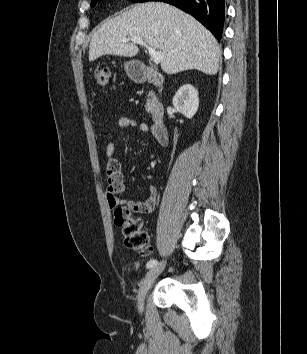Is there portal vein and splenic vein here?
I'll use <instances>...</instances> for the list:
<instances>
[{
	"instance_id": "portal-vein-and-splenic-vein-1",
	"label": "portal vein and splenic vein",
	"mask_w": 307,
	"mask_h": 354,
	"mask_svg": "<svg viewBox=\"0 0 307 354\" xmlns=\"http://www.w3.org/2000/svg\"><path fill=\"white\" fill-rule=\"evenodd\" d=\"M123 41H132L135 44H139L142 45L144 47H146V49L148 50V53L150 55L151 60L155 63V64H159L161 62V60L163 59V54L161 51H156L154 48L148 46L141 38L139 37H127L125 38Z\"/></svg>"
}]
</instances>
